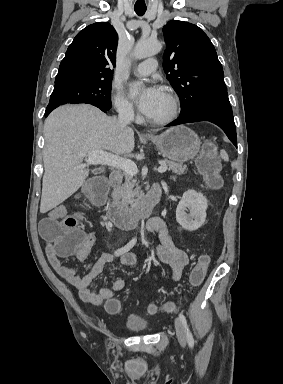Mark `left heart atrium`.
Segmentation results:
<instances>
[{
	"instance_id": "1",
	"label": "left heart atrium",
	"mask_w": 283,
	"mask_h": 384,
	"mask_svg": "<svg viewBox=\"0 0 283 384\" xmlns=\"http://www.w3.org/2000/svg\"><path fill=\"white\" fill-rule=\"evenodd\" d=\"M129 90L135 96L139 111L145 116L153 111L164 94L159 86L152 84H148L140 89H137L132 84Z\"/></svg>"
}]
</instances>
